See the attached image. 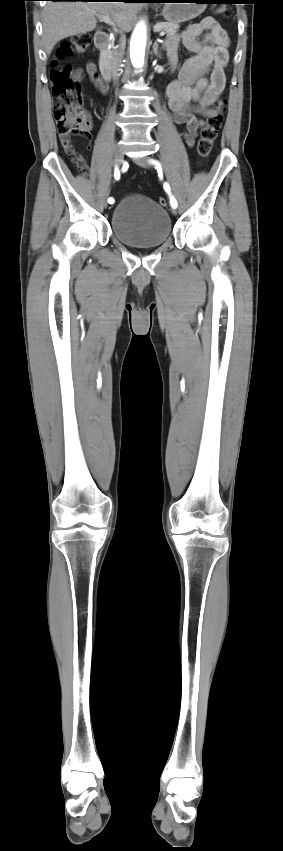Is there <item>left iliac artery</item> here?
<instances>
[{
	"label": "left iliac artery",
	"mask_w": 283,
	"mask_h": 851,
	"mask_svg": "<svg viewBox=\"0 0 283 851\" xmlns=\"http://www.w3.org/2000/svg\"><path fill=\"white\" fill-rule=\"evenodd\" d=\"M151 162H152V163H154L157 167H159V166H160L159 162H157V161H155V160H152ZM164 190H165V191H166V192L170 195V204H171V206H172L173 208H176V207H177V201H176V199H175L173 196H171L170 186H169V184H168V183H165V184H164Z\"/></svg>",
	"instance_id": "left-iliac-artery-1"
}]
</instances>
